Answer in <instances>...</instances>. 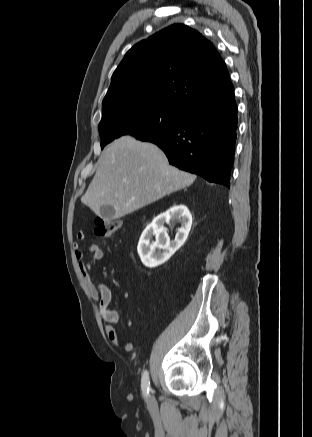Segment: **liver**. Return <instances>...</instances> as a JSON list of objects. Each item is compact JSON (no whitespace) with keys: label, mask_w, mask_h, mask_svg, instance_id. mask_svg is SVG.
Here are the masks:
<instances>
[{"label":"liver","mask_w":312,"mask_h":437,"mask_svg":"<svg viewBox=\"0 0 312 437\" xmlns=\"http://www.w3.org/2000/svg\"><path fill=\"white\" fill-rule=\"evenodd\" d=\"M195 179V175L171 166L156 145L123 136L103 150L81 202L97 215L102 205H110L117 219L191 185Z\"/></svg>","instance_id":"obj_1"}]
</instances>
